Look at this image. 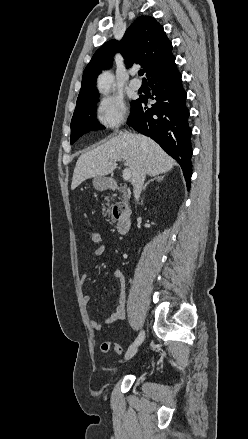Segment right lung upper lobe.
Here are the masks:
<instances>
[{
  "instance_id": "right-lung-upper-lobe-1",
  "label": "right lung upper lobe",
  "mask_w": 248,
  "mask_h": 439,
  "mask_svg": "<svg viewBox=\"0 0 248 439\" xmlns=\"http://www.w3.org/2000/svg\"><path fill=\"white\" fill-rule=\"evenodd\" d=\"M116 52L123 55L127 68L135 63L142 65L147 78L175 64L172 43L163 27L153 17L140 16L126 30L120 42L110 40L95 52L84 70L76 108L98 98L96 79L102 69L111 65Z\"/></svg>"
}]
</instances>
